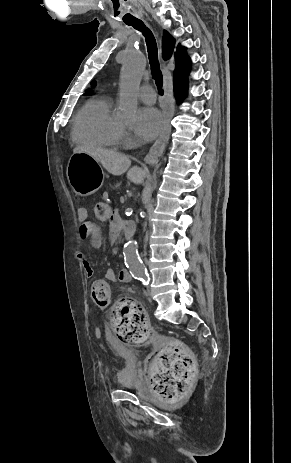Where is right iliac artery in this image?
Masks as SVG:
<instances>
[{"instance_id": "right-iliac-artery-1", "label": "right iliac artery", "mask_w": 291, "mask_h": 463, "mask_svg": "<svg viewBox=\"0 0 291 463\" xmlns=\"http://www.w3.org/2000/svg\"><path fill=\"white\" fill-rule=\"evenodd\" d=\"M138 280L142 281L143 285H148L149 284V277H139Z\"/></svg>"}]
</instances>
